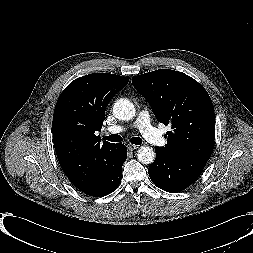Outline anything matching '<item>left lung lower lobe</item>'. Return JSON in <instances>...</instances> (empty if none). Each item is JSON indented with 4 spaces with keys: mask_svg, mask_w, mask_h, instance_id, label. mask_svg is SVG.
<instances>
[{
    "mask_svg": "<svg viewBox=\"0 0 253 253\" xmlns=\"http://www.w3.org/2000/svg\"><path fill=\"white\" fill-rule=\"evenodd\" d=\"M156 159L148 168L152 182L164 191L177 193L190 186L201 174L208 160L173 155L158 148Z\"/></svg>",
    "mask_w": 253,
    "mask_h": 253,
    "instance_id": "left-lung-lower-lobe-1",
    "label": "left lung lower lobe"
}]
</instances>
